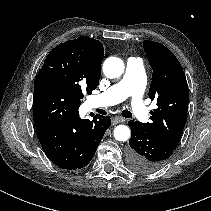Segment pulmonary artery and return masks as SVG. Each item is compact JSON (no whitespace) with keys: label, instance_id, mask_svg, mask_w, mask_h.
Returning a JSON list of instances; mask_svg holds the SVG:
<instances>
[{"label":"pulmonary artery","instance_id":"e3ab8cb5","mask_svg":"<svg viewBox=\"0 0 211 211\" xmlns=\"http://www.w3.org/2000/svg\"><path fill=\"white\" fill-rule=\"evenodd\" d=\"M145 85L144 65L140 59L131 57L127 60L126 71L122 79L105 92L92 96L89 106L92 108L111 106L131 97L134 115L140 121H146L149 113L143 103Z\"/></svg>","mask_w":211,"mask_h":211}]
</instances>
